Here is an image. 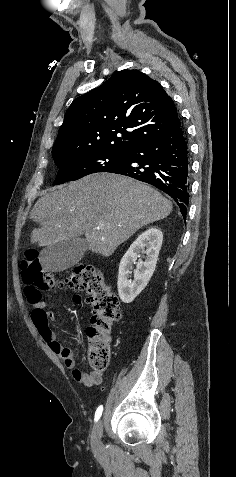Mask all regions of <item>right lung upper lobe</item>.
I'll return each mask as SVG.
<instances>
[{
    "instance_id": "right-lung-upper-lobe-1",
    "label": "right lung upper lobe",
    "mask_w": 236,
    "mask_h": 477,
    "mask_svg": "<svg viewBox=\"0 0 236 477\" xmlns=\"http://www.w3.org/2000/svg\"><path fill=\"white\" fill-rule=\"evenodd\" d=\"M178 120L173 100L157 81L139 70H121L70 105L52 155L89 149L127 153Z\"/></svg>"
}]
</instances>
